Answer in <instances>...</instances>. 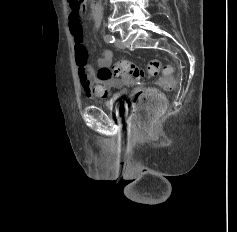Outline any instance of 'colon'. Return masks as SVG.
<instances>
[{"instance_id": "colon-1", "label": "colon", "mask_w": 237, "mask_h": 232, "mask_svg": "<svg viewBox=\"0 0 237 232\" xmlns=\"http://www.w3.org/2000/svg\"><path fill=\"white\" fill-rule=\"evenodd\" d=\"M68 2L73 11L81 13L85 9L86 0H68ZM161 70L162 66L158 60L150 61L146 70L139 69L127 60L118 61L113 68V72L117 76L129 74L135 78L157 75ZM158 83L166 90L174 87L175 80L170 68L164 70V76L159 79ZM164 109L165 99L162 93L156 88H143L134 96L132 122L142 133L149 134L163 114Z\"/></svg>"}]
</instances>
